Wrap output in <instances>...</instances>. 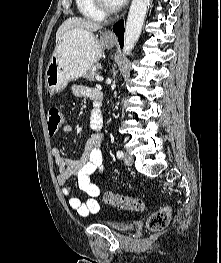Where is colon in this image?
Returning a JSON list of instances; mask_svg holds the SVG:
<instances>
[{
  "mask_svg": "<svg viewBox=\"0 0 221 263\" xmlns=\"http://www.w3.org/2000/svg\"><path fill=\"white\" fill-rule=\"evenodd\" d=\"M63 124V113L60 108L52 107L47 112V126L50 135L56 134ZM104 204L131 212H143L144 202L141 199L128 197L114 192H105L102 196ZM171 208L165 206L153 212L147 219L146 226L150 232L164 230L170 221Z\"/></svg>",
  "mask_w": 221,
  "mask_h": 263,
  "instance_id": "obj_1",
  "label": "colon"
}]
</instances>
